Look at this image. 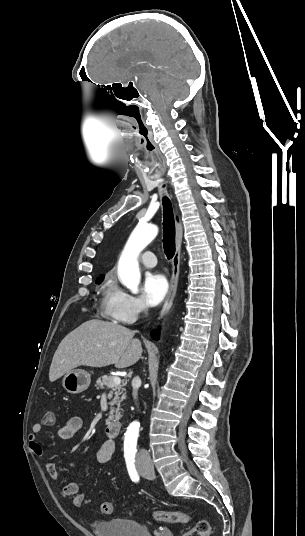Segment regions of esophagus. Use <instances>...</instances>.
Segmentation results:
<instances>
[{
    "label": "esophagus",
    "mask_w": 305,
    "mask_h": 536,
    "mask_svg": "<svg viewBox=\"0 0 305 536\" xmlns=\"http://www.w3.org/2000/svg\"><path fill=\"white\" fill-rule=\"evenodd\" d=\"M182 234H183L182 224H181V221L178 220L176 223V238H175L176 250L172 258V273H171V280H170V288L165 297L164 304L160 312L161 317L164 316L168 312V310L171 308L173 304V300L176 295L178 279H179V269H180V252H181Z\"/></svg>",
    "instance_id": "1"
}]
</instances>
